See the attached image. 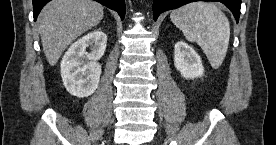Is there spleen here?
<instances>
[{
	"instance_id": "3e777b00",
	"label": "spleen",
	"mask_w": 276,
	"mask_h": 145,
	"mask_svg": "<svg viewBox=\"0 0 276 145\" xmlns=\"http://www.w3.org/2000/svg\"><path fill=\"white\" fill-rule=\"evenodd\" d=\"M170 19L188 41L202 48L212 68L222 65L228 49L230 25L216 5L191 2L172 11Z\"/></svg>"
}]
</instances>
